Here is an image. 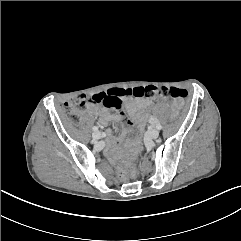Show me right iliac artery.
<instances>
[{"label":"right iliac artery","mask_w":241,"mask_h":241,"mask_svg":"<svg viewBox=\"0 0 241 241\" xmlns=\"http://www.w3.org/2000/svg\"><path fill=\"white\" fill-rule=\"evenodd\" d=\"M92 129H93V131H97L98 127L94 126Z\"/></svg>","instance_id":"1"}]
</instances>
